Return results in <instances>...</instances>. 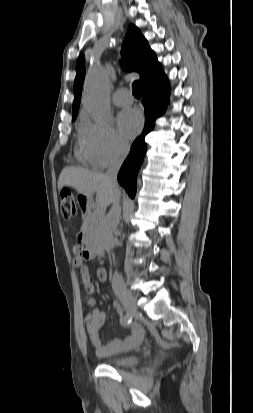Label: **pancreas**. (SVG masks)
Here are the masks:
<instances>
[{"instance_id": "pancreas-1", "label": "pancreas", "mask_w": 253, "mask_h": 413, "mask_svg": "<svg viewBox=\"0 0 253 413\" xmlns=\"http://www.w3.org/2000/svg\"><path fill=\"white\" fill-rule=\"evenodd\" d=\"M102 219V213L100 211H87L83 218V226L93 225L98 226Z\"/></svg>"}]
</instances>
